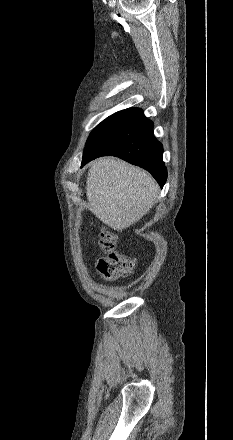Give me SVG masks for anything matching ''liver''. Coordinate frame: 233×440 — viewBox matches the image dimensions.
<instances>
[{
	"label": "liver",
	"instance_id": "obj_1",
	"mask_svg": "<svg viewBox=\"0 0 233 440\" xmlns=\"http://www.w3.org/2000/svg\"><path fill=\"white\" fill-rule=\"evenodd\" d=\"M159 187L146 171L114 157L91 163L86 181L88 209L103 223L122 231L156 203Z\"/></svg>",
	"mask_w": 233,
	"mask_h": 440
}]
</instances>
